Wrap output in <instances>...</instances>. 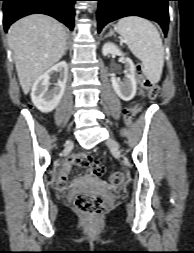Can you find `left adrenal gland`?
<instances>
[{
    "mask_svg": "<svg viewBox=\"0 0 194 253\" xmlns=\"http://www.w3.org/2000/svg\"><path fill=\"white\" fill-rule=\"evenodd\" d=\"M113 34H114L113 30L110 29L109 33H108L105 37H109V36H111V35H113Z\"/></svg>",
    "mask_w": 194,
    "mask_h": 253,
    "instance_id": "left-adrenal-gland-1",
    "label": "left adrenal gland"
}]
</instances>
